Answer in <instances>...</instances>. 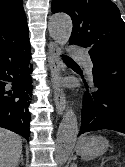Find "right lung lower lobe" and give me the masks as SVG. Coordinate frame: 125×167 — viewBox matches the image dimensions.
<instances>
[{
  "instance_id": "98d812e1",
  "label": "right lung lower lobe",
  "mask_w": 125,
  "mask_h": 167,
  "mask_svg": "<svg viewBox=\"0 0 125 167\" xmlns=\"http://www.w3.org/2000/svg\"><path fill=\"white\" fill-rule=\"evenodd\" d=\"M29 39L0 49V127L30 136L32 72ZM11 82V86H9Z\"/></svg>"
}]
</instances>
